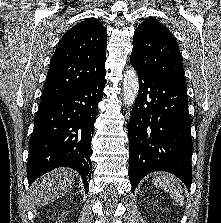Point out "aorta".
Listing matches in <instances>:
<instances>
[{"mask_svg":"<svg viewBox=\"0 0 221 223\" xmlns=\"http://www.w3.org/2000/svg\"><path fill=\"white\" fill-rule=\"evenodd\" d=\"M139 90V80L133 68L126 70L123 79V101L125 106L130 107L134 104Z\"/></svg>","mask_w":221,"mask_h":223,"instance_id":"762f6f07","label":"aorta"}]
</instances>
